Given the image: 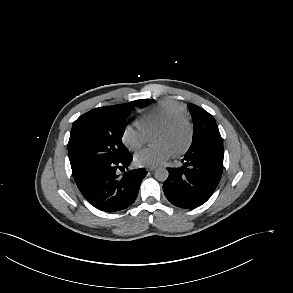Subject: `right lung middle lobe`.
Masks as SVG:
<instances>
[{
    "mask_svg": "<svg viewBox=\"0 0 293 293\" xmlns=\"http://www.w3.org/2000/svg\"><path fill=\"white\" fill-rule=\"evenodd\" d=\"M141 101L144 100L96 108L73 123L68 152L74 178L130 153L122 143V136L129 113Z\"/></svg>",
    "mask_w": 293,
    "mask_h": 293,
    "instance_id": "dd1d6c3e",
    "label": "right lung middle lobe"
}]
</instances>
